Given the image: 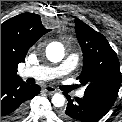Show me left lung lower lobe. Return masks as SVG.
Wrapping results in <instances>:
<instances>
[{
  "label": "left lung lower lobe",
  "mask_w": 122,
  "mask_h": 122,
  "mask_svg": "<svg viewBox=\"0 0 122 122\" xmlns=\"http://www.w3.org/2000/svg\"><path fill=\"white\" fill-rule=\"evenodd\" d=\"M65 96L68 105L61 112V117L65 122H95L101 119L113 105L90 95L76 98L75 101L71 100L67 94Z\"/></svg>",
  "instance_id": "obj_1"
}]
</instances>
